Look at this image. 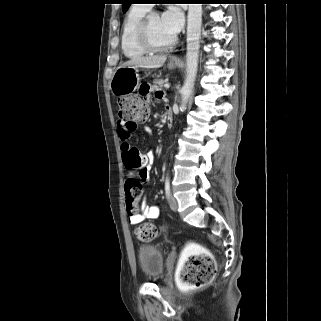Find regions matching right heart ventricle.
<instances>
[{
	"label": "right heart ventricle",
	"instance_id": "e07e8e85",
	"mask_svg": "<svg viewBox=\"0 0 321 321\" xmlns=\"http://www.w3.org/2000/svg\"><path fill=\"white\" fill-rule=\"evenodd\" d=\"M149 12L144 5H134L128 11L121 30V49L129 59L140 58L147 53L137 42L136 31L139 22Z\"/></svg>",
	"mask_w": 321,
	"mask_h": 321
}]
</instances>
